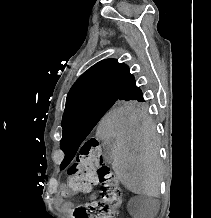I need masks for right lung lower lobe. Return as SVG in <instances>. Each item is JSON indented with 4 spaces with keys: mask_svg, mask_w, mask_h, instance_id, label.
<instances>
[{
    "mask_svg": "<svg viewBox=\"0 0 211 218\" xmlns=\"http://www.w3.org/2000/svg\"><path fill=\"white\" fill-rule=\"evenodd\" d=\"M121 97L143 98L140 88L136 86L135 79L124 89Z\"/></svg>",
    "mask_w": 211,
    "mask_h": 218,
    "instance_id": "98d812e1",
    "label": "right lung lower lobe"
}]
</instances>
